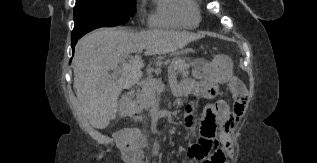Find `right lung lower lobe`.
I'll return each instance as SVG.
<instances>
[{"mask_svg": "<svg viewBox=\"0 0 317 163\" xmlns=\"http://www.w3.org/2000/svg\"><path fill=\"white\" fill-rule=\"evenodd\" d=\"M79 38L80 37L72 39V50H73V52H74V47H75V45H76V43H77Z\"/></svg>", "mask_w": 317, "mask_h": 163, "instance_id": "obj_1", "label": "right lung lower lobe"}]
</instances>
